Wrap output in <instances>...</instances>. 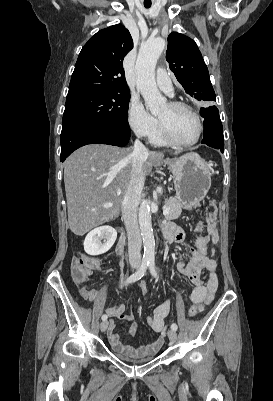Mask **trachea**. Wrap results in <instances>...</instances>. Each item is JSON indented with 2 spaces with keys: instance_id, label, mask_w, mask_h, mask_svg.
Returning <instances> with one entry per match:
<instances>
[{
  "instance_id": "3493384b",
  "label": "trachea",
  "mask_w": 273,
  "mask_h": 401,
  "mask_svg": "<svg viewBox=\"0 0 273 401\" xmlns=\"http://www.w3.org/2000/svg\"><path fill=\"white\" fill-rule=\"evenodd\" d=\"M151 5H145V8H150Z\"/></svg>"
}]
</instances>
